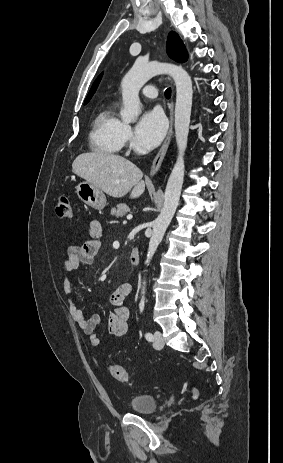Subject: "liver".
Segmentation results:
<instances>
[{"mask_svg":"<svg viewBox=\"0 0 283 463\" xmlns=\"http://www.w3.org/2000/svg\"><path fill=\"white\" fill-rule=\"evenodd\" d=\"M72 172L114 198L130 192V198L145 191L142 171L128 159L104 152L83 153L76 157Z\"/></svg>","mask_w":283,"mask_h":463,"instance_id":"obj_1","label":"liver"}]
</instances>
